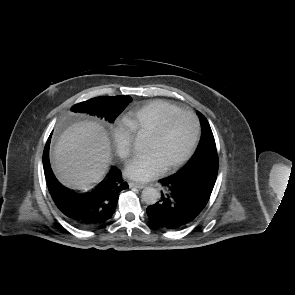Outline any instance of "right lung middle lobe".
I'll list each match as a JSON object with an SVG mask.
<instances>
[{
	"label": "right lung middle lobe",
	"instance_id": "1",
	"mask_svg": "<svg viewBox=\"0 0 295 295\" xmlns=\"http://www.w3.org/2000/svg\"><path fill=\"white\" fill-rule=\"evenodd\" d=\"M131 101L132 99L129 96L95 97L74 105L71 110L73 112L88 113L113 123ZM44 164H49L48 156Z\"/></svg>",
	"mask_w": 295,
	"mask_h": 295
}]
</instances>
